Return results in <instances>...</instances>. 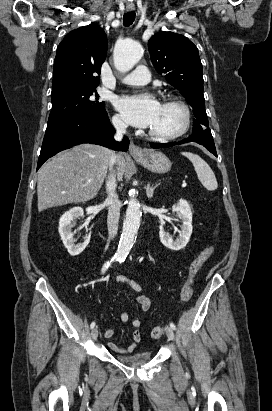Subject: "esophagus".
<instances>
[{
    "instance_id": "34e87169",
    "label": "esophagus",
    "mask_w": 272,
    "mask_h": 411,
    "mask_svg": "<svg viewBox=\"0 0 272 411\" xmlns=\"http://www.w3.org/2000/svg\"><path fill=\"white\" fill-rule=\"evenodd\" d=\"M126 9L127 11L131 12V11H134L135 8L132 5H128ZM129 151L132 156H143L142 149L139 146L135 145L134 143H130Z\"/></svg>"
}]
</instances>
